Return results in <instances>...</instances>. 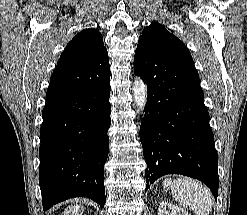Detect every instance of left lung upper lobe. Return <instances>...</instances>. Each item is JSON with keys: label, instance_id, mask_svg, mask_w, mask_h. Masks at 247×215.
<instances>
[{"label": "left lung upper lobe", "instance_id": "left-lung-upper-lobe-1", "mask_svg": "<svg viewBox=\"0 0 247 215\" xmlns=\"http://www.w3.org/2000/svg\"><path fill=\"white\" fill-rule=\"evenodd\" d=\"M140 43L148 44L162 52L192 59L187 47L175 35L169 33L159 23H151L139 37ZM138 42V43H139Z\"/></svg>", "mask_w": 247, "mask_h": 215}]
</instances>
